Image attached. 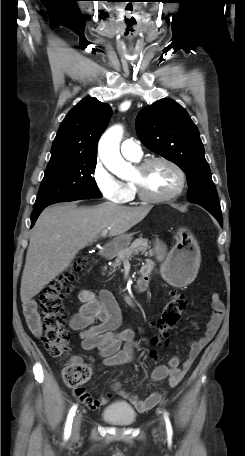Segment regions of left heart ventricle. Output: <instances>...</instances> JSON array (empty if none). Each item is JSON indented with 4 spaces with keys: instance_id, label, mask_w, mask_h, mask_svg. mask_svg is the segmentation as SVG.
Segmentation results:
<instances>
[{
    "instance_id": "obj_1",
    "label": "left heart ventricle",
    "mask_w": 245,
    "mask_h": 456,
    "mask_svg": "<svg viewBox=\"0 0 245 456\" xmlns=\"http://www.w3.org/2000/svg\"><path fill=\"white\" fill-rule=\"evenodd\" d=\"M139 178L137 170L133 179ZM143 182L147 191L155 196H164L172 193L179 184V178L173 168L165 163H155L143 175Z\"/></svg>"
}]
</instances>
